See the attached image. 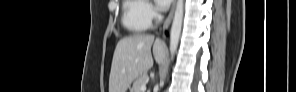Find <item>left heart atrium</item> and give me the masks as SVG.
Returning <instances> with one entry per match:
<instances>
[{"instance_id": "1", "label": "left heart atrium", "mask_w": 296, "mask_h": 92, "mask_svg": "<svg viewBox=\"0 0 296 92\" xmlns=\"http://www.w3.org/2000/svg\"><path fill=\"white\" fill-rule=\"evenodd\" d=\"M156 3L160 9H165L169 5L170 1L169 0H157Z\"/></svg>"}]
</instances>
